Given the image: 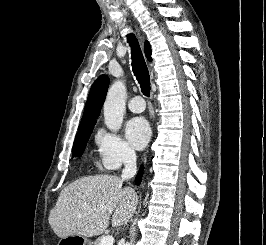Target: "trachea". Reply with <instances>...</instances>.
Masks as SVG:
<instances>
[{
    "label": "trachea",
    "mask_w": 266,
    "mask_h": 245,
    "mask_svg": "<svg viewBox=\"0 0 266 245\" xmlns=\"http://www.w3.org/2000/svg\"><path fill=\"white\" fill-rule=\"evenodd\" d=\"M128 42L131 46L132 67L138 82L140 83L142 93L146 97L150 96V75L141 52V48L135 35H128Z\"/></svg>",
    "instance_id": "1"
}]
</instances>
